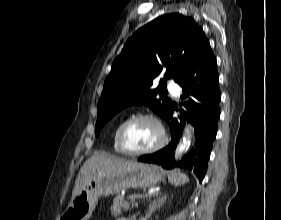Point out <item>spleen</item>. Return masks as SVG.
I'll list each match as a JSON object with an SVG mask.
<instances>
[{
	"instance_id": "1",
	"label": "spleen",
	"mask_w": 281,
	"mask_h": 220,
	"mask_svg": "<svg viewBox=\"0 0 281 220\" xmlns=\"http://www.w3.org/2000/svg\"><path fill=\"white\" fill-rule=\"evenodd\" d=\"M168 179L170 183L174 185H183L189 181V178L186 174L178 171H171Z\"/></svg>"
}]
</instances>
